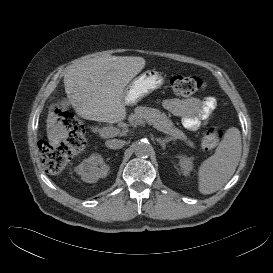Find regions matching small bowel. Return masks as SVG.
Listing matches in <instances>:
<instances>
[{"instance_id": "c3829d8e", "label": "small bowel", "mask_w": 273, "mask_h": 273, "mask_svg": "<svg viewBox=\"0 0 273 273\" xmlns=\"http://www.w3.org/2000/svg\"><path fill=\"white\" fill-rule=\"evenodd\" d=\"M160 107L181 118L184 127L190 131H198L203 128L214 116L217 105L214 97L203 99L189 98L162 99Z\"/></svg>"}]
</instances>
